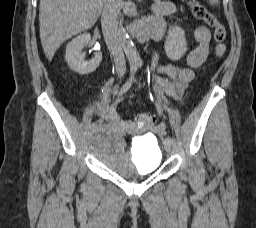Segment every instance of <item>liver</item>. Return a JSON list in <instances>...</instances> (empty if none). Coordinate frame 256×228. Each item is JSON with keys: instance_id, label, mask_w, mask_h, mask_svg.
Here are the masks:
<instances>
[{"instance_id": "liver-1", "label": "liver", "mask_w": 256, "mask_h": 228, "mask_svg": "<svg viewBox=\"0 0 256 228\" xmlns=\"http://www.w3.org/2000/svg\"><path fill=\"white\" fill-rule=\"evenodd\" d=\"M103 4L104 0H40V38L49 61L63 42L96 23Z\"/></svg>"}]
</instances>
